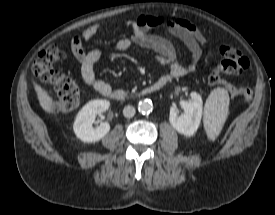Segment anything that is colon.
I'll use <instances>...</instances> for the list:
<instances>
[{"mask_svg":"<svg viewBox=\"0 0 275 215\" xmlns=\"http://www.w3.org/2000/svg\"><path fill=\"white\" fill-rule=\"evenodd\" d=\"M222 61L212 69L207 81L210 85H222L229 88L230 92L238 98L248 101L252 97V90L247 87H230L222 75H240L248 67L247 58L236 48L222 46L220 48ZM64 58L63 51L57 45H51L44 49L32 66L33 74L42 82L48 84L56 92V99L53 101V109L62 114L75 110L81 100V88L71 77L54 70V64Z\"/></svg>","mask_w":275,"mask_h":215,"instance_id":"1","label":"colon"}]
</instances>
